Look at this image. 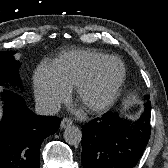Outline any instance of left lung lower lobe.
<instances>
[{
    "label": "left lung lower lobe",
    "instance_id": "left-lung-lower-lobe-1",
    "mask_svg": "<svg viewBox=\"0 0 168 168\" xmlns=\"http://www.w3.org/2000/svg\"><path fill=\"white\" fill-rule=\"evenodd\" d=\"M134 123L107 112L82 128L84 168H134L150 139L151 103Z\"/></svg>",
    "mask_w": 168,
    "mask_h": 168
}]
</instances>
